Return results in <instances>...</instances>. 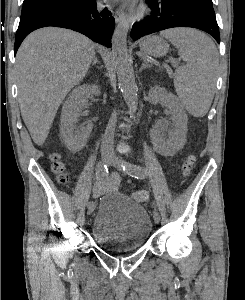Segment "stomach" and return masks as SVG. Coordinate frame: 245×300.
<instances>
[{"label":"stomach","mask_w":245,"mask_h":300,"mask_svg":"<svg viewBox=\"0 0 245 300\" xmlns=\"http://www.w3.org/2000/svg\"><path fill=\"white\" fill-rule=\"evenodd\" d=\"M140 49L148 55L160 57L168 52L169 45L163 38L152 35L141 40Z\"/></svg>","instance_id":"obj_1"}]
</instances>
